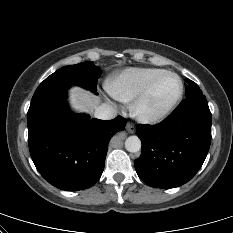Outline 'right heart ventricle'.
Wrapping results in <instances>:
<instances>
[{
	"label": "right heart ventricle",
	"instance_id": "obj_1",
	"mask_svg": "<svg viewBox=\"0 0 233 233\" xmlns=\"http://www.w3.org/2000/svg\"><path fill=\"white\" fill-rule=\"evenodd\" d=\"M163 71L165 70L159 68H128L108 80L106 89L116 100L128 103Z\"/></svg>",
	"mask_w": 233,
	"mask_h": 233
}]
</instances>
